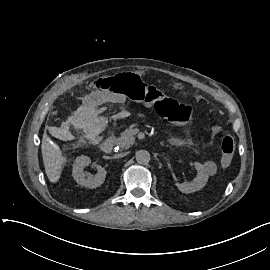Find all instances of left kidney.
<instances>
[{
	"label": "left kidney",
	"mask_w": 270,
	"mask_h": 270,
	"mask_svg": "<svg viewBox=\"0 0 270 270\" xmlns=\"http://www.w3.org/2000/svg\"><path fill=\"white\" fill-rule=\"evenodd\" d=\"M194 168L197 170V175L191 183H175V186L180 192L186 194L194 193L202 189L208 182L209 175L204 170L203 165L199 162H194Z\"/></svg>",
	"instance_id": "left-kidney-1"
}]
</instances>
